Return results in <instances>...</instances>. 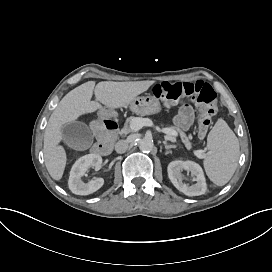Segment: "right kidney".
Returning a JSON list of instances; mask_svg holds the SVG:
<instances>
[{"label":"right kidney","instance_id":"right-kidney-1","mask_svg":"<svg viewBox=\"0 0 272 272\" xmlns=\"http://www.w3.org/2000/svg\"><path fill=\"white\" fill-rule=\"evenodd\" d=\"M101 163V156L96 154L84 155L74 163L68 180V186L72 193L76 195H89L95 193L104 185L102 178H95L88 183H84L81 179L90 167L99 169Z\"/></svg>","mask_w":272,"mask_h":272}]
</instances>
